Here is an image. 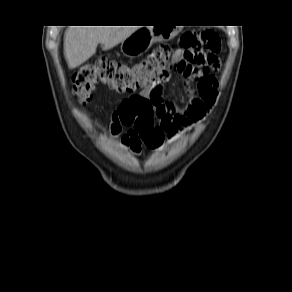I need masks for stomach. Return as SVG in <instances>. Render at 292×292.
Here are the masks:
<instances>
[{
  "label": "stomach",
  "instance_id": "1",
  "mask_svg": "<svg viewBox=\"0 0 292 292\" xmlns=\"http://www.w3.org/2000/svg\"><path fill=\"white\" fill-rule=\"evenodd\" d=\"M180 29H161L155 26L141 27L133 32L121 44L125 56L134 57L147 51L153 43L174 37Z\"/></svg>",
  "mask_w": 292,
  "mask_h": 292
}]
</instances>
